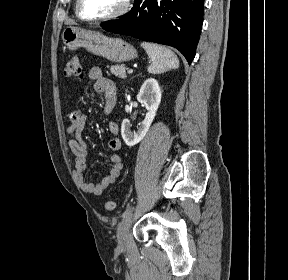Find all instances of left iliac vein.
<instances>
[{"label": "left iliac vein", "instance_id": "left-iliac-vein-1", "mask_svg": "<svg viewBox=\"0 0 288 280\" xmlns=\"http://www.w3.org/2000/svg\"><path fill=\"white\" fill-rule=\"evenodd\" d=\"M134 207L130 208V213L125 214L123 222L120 224L117 230V239L118 245L120 248H125L128 244V233L129 228L132 223V216H133Z\"/></svg>", "mask_w": 288, "mask_h": 280}]
</instances>
